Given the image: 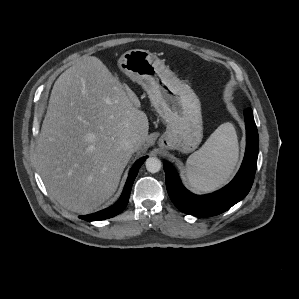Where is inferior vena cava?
Listing matches in <instances>:
<instances>
[{
    "label": "inferior vena cava",
    "instance_id": "inferior-vena-cava-1",
    "mask_svg": "<svg viewBox=\"0 0 299 299\" xmlns=\"http://www.w3.org/2000/svg\"><path fill=\"white\" fill-rule=\"evenodd\" d=\"M120 145L123 150L133 152L135 150L136 140H123Z\"/></svg>",
    "mask_w": 299,
    "mask_h": 299
}]
</instances>
